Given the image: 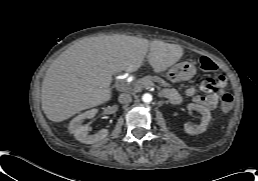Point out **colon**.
Here are the masks:
<instances>
[{"mask_svg":"<svg viewBox=\"0 0 258 181\" xmlns=\"http://www.w3.org/2000/svg\"><path fill=\"white\" fill-rule=\"evenodd\" d=\"M208 66V62L205 63ZM232 106V96L228 93L223 95V107L225 109H230Z\"/></svg>","mask_w":258,"mask_h":181,"instance_id":"colon-1","label":"colon"}]
</instances>
